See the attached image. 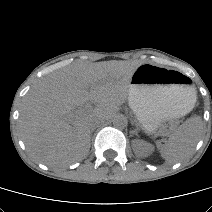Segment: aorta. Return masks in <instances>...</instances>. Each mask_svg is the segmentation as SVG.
<instances>
[{
  "label": "aorta",
  "mask_w": 212,
  "mask_h": 212,
  "mask_svg": "<svg viewBox=\"0 0 212 212\" xmlns=\"http://www.w3.org/2000/svg\"><path fill=\"white\" fill-rule=\"evenodd\" d=\"M113 125L116 128H124L127 125V118L124 115L118 114L113 118Z\"/></svg>",
  "instance_id": "762f6f07"
}]
</instances>
